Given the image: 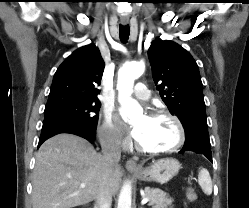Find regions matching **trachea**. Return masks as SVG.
<instances>
[{
	"label": "trachea",
	"instance_id": "obj_1",
	"mask_svg": "<svg viewBox=\"0 0 249 208\" xmlns=\"http://www.w3.org/2000/svg\"><path fill=\"white\" fill-rule=\"evenodd\" d=\"M130 35V28L128 25H120L119 26V36L123 43H126Z\"/></svg>",
	"mask_w": 249,
	"mask_h": 208
}]
</instances>
